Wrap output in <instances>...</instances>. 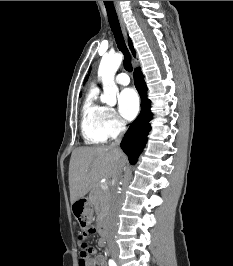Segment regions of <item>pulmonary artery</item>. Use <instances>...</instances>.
I'll use <instances>...</instances> for the list:
<instances>
[{
    "label": "pulmonary artery",
    "instance_id": "obj_1",
    "mask_svg": "<svg viewBox=\"0 0 233 266\" xmlns=\"http://www.w3.org/2000/svg\"><path fill=\"white\" fill-rule=\"evenodd\" d=\"M115 81L120 85H128L130 83V78L126 73H119L115 77Z\"/></svg>",
    "mask_w": 233,
    "mask_h": 266
}]
</instances>
